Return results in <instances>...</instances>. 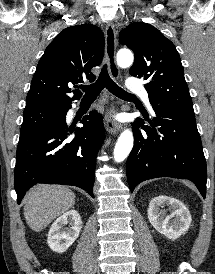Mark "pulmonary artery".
<instances>
[{
	"instance_id": "e3ab8cb5",
	"label": "pulmonary artery",
	"mask_w": 215,
	"mask_h": 274,
	"mask_svg": "<svg viewBox=\"0 0 215 274\" xmlns=\"http://www.w3.org/2000/svg\"><path fill=\"white\" fill-rule=\"evenodd\" d=\"M128 90L140 93L145 104L150 107L149 96L142 84L136 79H130L127 83Z\"/></svg>"
}]
</instances>
